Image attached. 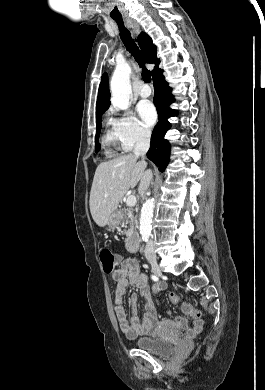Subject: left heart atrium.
<instances>
[{"label":"left heart atrium","mask_w":265,"mask_h":390,"mask_svg":"<svg viewBox=\"0 0 265 390\" xmlns=\"http://www.w3.org/2000/svg\"><path fill=\"white\" fill-rule=\"evenodd\" d=\"M138 113L146 126H152L156 122L157 114L153 105L149 102H141L137 107Z\"/></svg>","instance_id":"obj_1"}]
</instances>
